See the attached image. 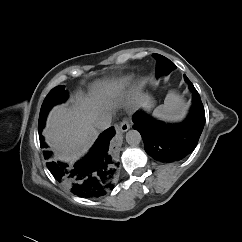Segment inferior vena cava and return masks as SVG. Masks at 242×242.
I'll list each match as a JSON object with an SVG mask.
<instances>
[{
  "instance_id": "obj_1",
  "label": "inferior vena cava",
  "mask_w": 242,
  "mask_h": 242,
  "mask_svg": "<svg viewBox=\"0 0 242 242\" xmlns=\"http://www.w3.org/2000/svg\"><path fill=\"white\" fill-rule=\"evenodd\" d=\"M112 116L108 112L101 113L95 120L94 126L99 130H106L111 126Z\"/></svg>"
}]
</instances>
